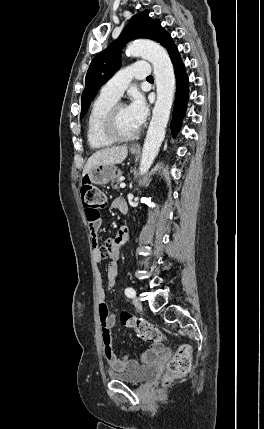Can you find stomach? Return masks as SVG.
Wrapping results in <instances>:
<instances>
[{
    "mask_svg": "<svg viewBox=\"0 0 264 429\" xmlns=\"http://www.w3.org/2000/svg\"><path fill=\"white\" fill-rule=\"evenodd\" d=\"M131 153L136 154L137 151L131 150ZM116 171L115 165H99L83 176V179H87L93 184L104 185L115 176Z\"/></svg>",
    "mask_w": 264,
    "mask_h": 429,
    "instance_id": "1",
    "label": "stomach"
}]
</instances>
